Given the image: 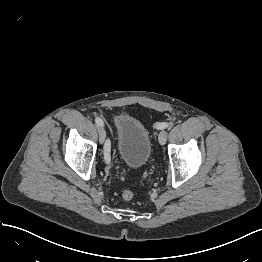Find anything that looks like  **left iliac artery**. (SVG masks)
<instances>
[{
  "instance_id": "left-iliac-artery-1",
  "label": "left iliac artery",
  "mask_w": 262,
  "mask_h": 262,
  "mask_svg": "<svg viewBox=\"0 0 262 262\" xmlns=\"http://www.w3.org/2000/svg\"><path fill=\"white\" fill-rule=\"evenodd\" d=\"M168 126H169V124L165 123V122L157 124L158 129H165Z\"/></svg>"
}]
</instances>
